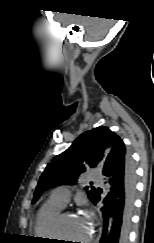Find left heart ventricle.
<instances>
[{
	"label": "left heart ventricle",
	"mask_w": 154,
	"mask_h": 243,
	"mask_svg": "<svg viewBox=\"0 0 154 243\" xmlns=\"http://www.w3.org/2000/svg\"><path fill=\"white\" fill-rule=\"evenodd\" d=\"M91 233L90 223L82 216H65L60 222V234L63 238L69 239L66 243H73L74 240L84 241Z\"/></svg>",
	"instance_id": "b2bd125f"
}]
</instances>
